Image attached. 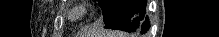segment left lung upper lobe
<instances>
[{
	"mask_svg": "<svg viewBox=\"0 0 219 37\" xmlns=\"http://www.w3.org/2000/svg\"><path fill=\"white\" fill-rule=\"evenodd\" d=\"M103 11L104 23L107 24L121 0H97Z\"/></svg>",
	"mask_w": 219,
	"mask_h": 37,
	"instance_id": "obj_1",
	"label": "left lung upper lobe"
}]
</instances>
